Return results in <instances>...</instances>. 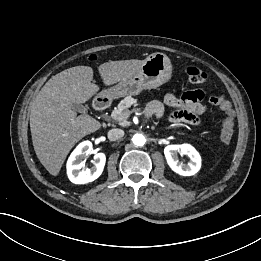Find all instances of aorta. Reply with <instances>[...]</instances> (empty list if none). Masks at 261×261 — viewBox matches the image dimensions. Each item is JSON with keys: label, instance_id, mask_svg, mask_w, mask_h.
<instances>
[{"label": "aorta", "instance_id": "aorta-1", "mask_svg": "<svg viewBox=\"0 0 261 261\" xmlns=\"http://www.w3.org/2000/svg\"><path fill=\"white\" fill-rule=\"evenodd\" d=\"M132 141L137 146H143L146 142V139L142 134H135L132 138Z\"/></svg>", "mask_w": 261, "mask_h": 261}]
</instances>
